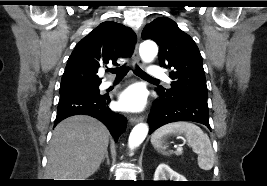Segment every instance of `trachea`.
Returning <instances> with one entry per match:
<instances>
[{"label": "trachea", "mask_w": 267, "mask_h": 186, "mask_svg": "<svg viewBox=\"0 0 267 186\" xmlns=\"http://www.w3.org/2000/svg\"><path fill=\"white\" fill-rule=\"evenodd\" d=\"M107 72H111L112 74H116V78H122L127 73V69H126L125 65H123V66L115 68V69H108ZM134 73L136 75H141L144 78L157 81V79H155V78L149 76L148 74H146L145 72H143L139 68V66H136V69H135Z\"/></svg>", "instance_id": "1"}]
</instances>
